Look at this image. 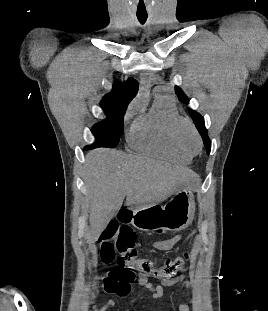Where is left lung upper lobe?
<instances>
[{
  "label": "left lung upper lobe",
  "mask_w": 268,
  "mask_h": 311,
  "mask_svg": "<svg viewBox=\"0 0 268 311\" xmlns=\"http://www.w3.org/2000/svg\"><path fill=\"white\" fill-rule=\"evenodd\" d=\"M175 92L181 102L183 103L189 102L188 97L184 94V92L182 91L180 87L175 86ZM189 111H190V116L193 119L195 126L203 139L207 153L209 154L211 150V141L208 137L207 129L205 128L204 118L199 113H197L196 111L192 109H189Z\"/></svg>",
  "instance_id": "obj_1"
}]
</instances>
